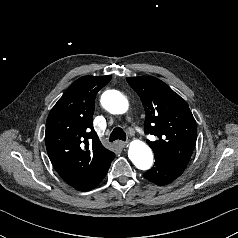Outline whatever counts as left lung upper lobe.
Returning a JSON list of instances; mask_svg holds the SVG:
<instances>
[{
    "label": "left lung upper lobe",
    "mask_w": 238,
    "mask_h": 238,
    "mask_svg": "<svg viewBox=\"0 0 238 238\" xmlns=\"http://www.w3.org/2000/svg\"><path fill=\"white\" fill-rule=\"evenodd\" d=\"M127 82L144 106L145 132L158 137L154 142L147 140L155 158L188 164L197 139L196 121L188 104L157 78L128 77Z\"/></svg>",
    "instance_id": "5c2ea615"
}]
</instances>
